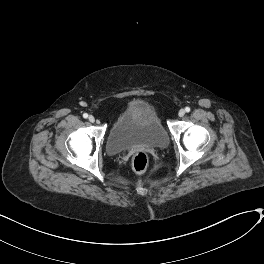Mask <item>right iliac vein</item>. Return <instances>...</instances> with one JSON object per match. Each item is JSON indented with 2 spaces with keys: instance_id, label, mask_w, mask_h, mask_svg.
I'll list each match as a JSON object with an SVG mask.
<instances>
[{
  "instance_id": "63e3f726",
  "label": "right iliac vein",
  "mask_w": 264,
  "mask_h": 264,
  "mask_svg": "<svg viewBox=\"0 0 264 264\" xmlns=\"http://www.w3.org/2000/svg\"><path fill=\"white\" fill-rule=\"evenodd\" d=\"M88 119H89V121H90V122H92V123H94V122H95V117H94V116H92V115H90Z\"/></svg>"
}]
</instances>
